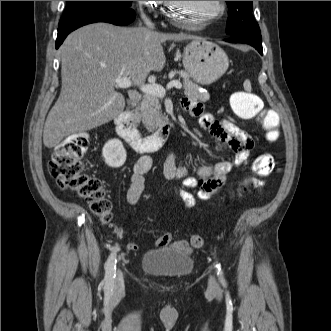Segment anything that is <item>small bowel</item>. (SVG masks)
Instances as JSON below:
<instances>
[{"instance_id": "small-bowel-1", "label": "small bowel", "mask_w": 331, "mask_h": 331, "mask_svg": "<svg viewBox=\"0 0 331 331\" xmlns=\"http://www.w3.org/2000/svg\"><path fill=\"white\" fill-rule=\"evenodd\" d=\"M181 107L189 112L192 116L199 118L200 126L209 132L218 142L220 150H228L233 153L234 160L220 161L211 166H202L190 173L185 167L177 164L176 155L170 153L163 166L164 176L168 179H181L183 185L189 189H197L196 196L192 193L180 189L178 195L188 208H194L199 199H210L218 194L224 187L227 173L234 166H241L248 159L250 152L254 147L252 137L236 123L227 119H216L212 114L205 112L202 104L191 100L184 99ZM152 166V161L148 156L139 158L132 170L129 179V188L126 193L127 202L135 206L144 191V174ZM243 185L259 188L263 182L257 178H250L243 182ZM174 246L186 251H191V247L186 240H178L171 243V237L164 233L157 239L156 247ZM130 251L138 249L134 242L128 245Z\"/></svg>"}]
</instances>
